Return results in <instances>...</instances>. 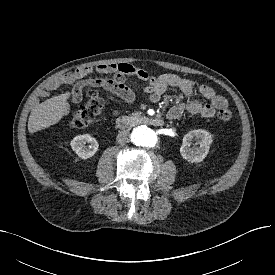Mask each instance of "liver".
Listing matches in <instances>:
<instances>
[{
    "instance_id": "obj_1",
    "label": "liver",
    "mask_w": 275,
    "mask_h": 275,
    "mask_svg": "<svg viewBox=\"0 0 275 275\" xmlns=\"http://www.w3.org/2000/svg\"><path fill=\"white\" fill-rule=\"evenodd\" d=\"M70 96V92H65L33 108L28 120L29 132L34 133L58 123L68 114L67 100Z\"/></svg>"
}]
</instances>
